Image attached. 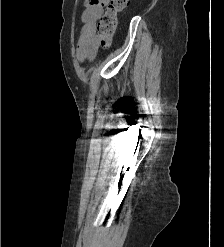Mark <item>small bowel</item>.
I'll return each instance as SVG.
<instances>
[{"mask_svg": "<svg viewBox=\"0 0 224 247\" xmlns=\"http://www.w3.org/2000/svg\"><path fill=\"white\" fill-rule=\"evenodd\" d=\"M109 0H87L86 9L82 14L83 27L78 39V58L92 59L98 49L96 22L100 19L104 7Z\"/></svg>", "mask_w": 224, "mask_h": 247, "instance_id": "small-bowel-1", "label": "small bowel"}]
</instances>
